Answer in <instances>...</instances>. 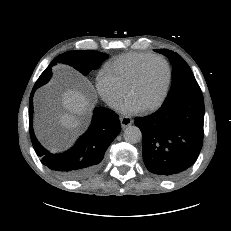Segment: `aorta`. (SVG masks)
Here are the masks:
<instances>
[{
  "instance_id": "aorta-1",
  "label": "aorta",
  "mask_w": 231,
  "mask_h": 231,
  "mask_svg": "<svg viewBox=\"0 0 231 231\" xmlns=\"http://www.w3.org/2000/svg\"><path fill=\"white\" fill-rule=\"evenodd\" d=\"M124 140L127 143L135 144L142 139V133L137 126H128L123 133Z\"/></svg>"
}]
</instances>
